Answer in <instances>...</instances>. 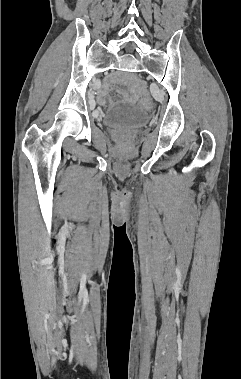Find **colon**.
<instances>
[{
	"label": "colon",
	"instance_id": "1",
	"mask_svg": "<svg viewBox=\"0 0 241 379\" xmlns=\"http://www.w3.org/2000/svg\"><path fill=\"white\" fill-rule=\"evenodd\" d=\"M141 105L143 106V107H146V108H148V107H150V104H151V97H150V94H141Z\"/></svg>",
	"mask_w": 241,
	"mask_h": 379
}]
</instances>
